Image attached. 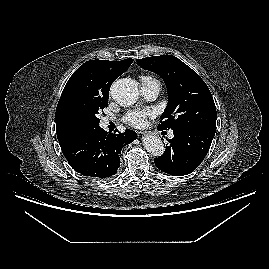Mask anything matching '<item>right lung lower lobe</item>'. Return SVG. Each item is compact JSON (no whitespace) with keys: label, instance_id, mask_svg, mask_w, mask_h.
<instances>
[{"label":"right lung lower lobe","instance_id":"right-lung-lower-lobe-1","mask_svg":"<svg viewBox=\"0 0 269 269\" xmlns=\"http://www.w3.org/2000/svg\"><path fill=\"white\" fill-rule=\"evenodd\" d=\"M137 138L127 129L124 133L105 132L100 126L77 131L58 139L71 167L88 179H106L117 173L122 148Z\"/></svg>","mask_w":269,"mask_h":269}]
</instances>
